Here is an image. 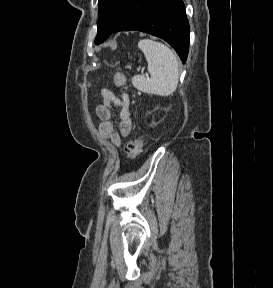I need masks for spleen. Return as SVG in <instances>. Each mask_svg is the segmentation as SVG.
Returning <instances> with one entry per match:
<instances>
[{"mask_svg":"<svg viewBox=\"0 0 273 288\" xmlns=\"http://www.w3.org/2000/svg\"><path fill=\"white\" fill-rule=\"evenodd\" d=\"M138 47L146 57L150 77L134 76L133 86L148 94H173L179 80V65L174 52L163 43L151 39L140 40Z\"/></svg>","mask_w":273,"mask_h":288,"instance_id":"obj_1","label":"spleen"}]
</instances>
